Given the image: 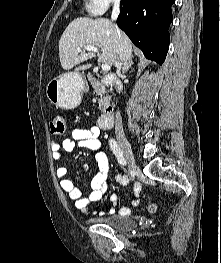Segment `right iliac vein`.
Here are the masks:
<instances>
[{
    "label": "right iliac vein",
    "instance_id": "63e3f726",
    "mask_svg": "<svg viewBox=\"0 0 221 263\" xmlns=\"http://www.w3.org/2000/svg\"><path fill=\"white\" fill-rule=\"evenodd\" d=\"M117 140H118V143H119V145H120V147L124 153V156L127 160V163L129 165V169L132 172L136 171L137 170L136 161H135L134 155L132 153V150L130 148V145H129L126 137L119 135Z\"/></svg>",
    "mask_w": 221,
    "mask_h": 263
}]
</instances>
